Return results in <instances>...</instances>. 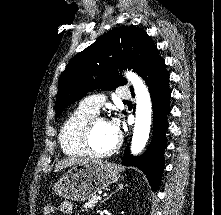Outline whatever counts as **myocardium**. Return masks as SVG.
<instances>
[{
    "label": "myocardium",
    "mask_w": 221,
    "mask_h": 215,
    "mask_svg": "<svg viewBox=\"0 0 221 215\" xmlns=\"http://www.w3.org/2000/svg\"><path fill=\"white\" fill-rule=\"evenodd\" d=\"M101 121L107 122V119L103 116H98V115H94L93 117H91L87 121L84 131H83V135H82V143H83L84 149L86 150L88 154L95 156V157L110 156L116 153L120 149L121 144H122V139L120 136H118L115 145L106 151H98L93 147L92 133H93L96 123L101 122Z\"/></svg>",
    "instance_id": "myocardium-1"
}]
</instances>
